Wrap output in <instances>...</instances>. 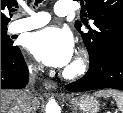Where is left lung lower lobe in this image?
Returning <instances> with one entry per match:
<instances>
[{
    "mask_svg": "<svg viewBox=\"0 0 123 113\" xmlns=\"http://www.w3.org/2000/svg\"><path fill=\"white\" fill-rule=\"evenodd\" d=\"M88 72L79 80L67 85L70 92L113 88L123 90V42L114 47L89 53Z\"/></svg>",
    "mask_w": 123,
    "mask_h": 113,
    "instance_id": "1",
    "label": "left lung lower lobe"
}]
</instances>
